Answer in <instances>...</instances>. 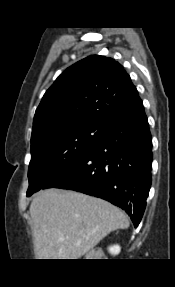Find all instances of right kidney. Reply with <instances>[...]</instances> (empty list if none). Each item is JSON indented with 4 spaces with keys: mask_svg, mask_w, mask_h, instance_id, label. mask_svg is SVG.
<instances>
[{
    "mask_svg": "<svg viewBox=\"0 0 175 287\" xmlns=\"http://www.w3.org/2000/svg\"><path fill=\"white\" fill-rule=\"evenodd\" d=\"M120 246L119 245H113V246H110L109 247V252L112 254V255H117L120 253Z\"/></svg>",
    "mask_w": 175,
    "mask_h": 287,
    "instance_id": "ca27d5eb",
    "label": "right kidney"
}]
</instances>
